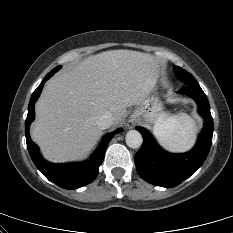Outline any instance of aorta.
Wrapping results in <instances>:
<instances>
[{"label": "aorta", "mask_w": 233, "mask_h": 233, "mask_svg": "<svg viewBox=\"0 0 233 233\" xmlns=\"http://www.w3.org/2000/svg\"><path fill=\"white\" fill-rule=\"evenodd\" d=\"M125 141L130 148H139L142 145L143 138L137 130H130L126 133Z\"/></svg>", "instance_id": "obj_1"}]
</instances>
